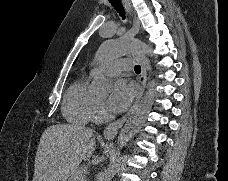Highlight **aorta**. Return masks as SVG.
<instances>
[{"label": "aorta", "instance_id": "obj_1", "mask_svg": "<svg viewBox=\"0 0 228 181\" xmlns=\"http://www.w3.org/2000/svg\"><path fill=\"white\" fill-rule=\"evenodd\" d=\"M130 52L145 53L154 56L152 48L136 39L120 38L118 40H107L98 49L96 59L98 62H105L110 59L122 56ZM156 81L152 82L151 88L141 99L128 121L121 130L117 144L119 148H124L131 138L142 128L149 112L152 109L153 101L156 97ZM111 83L99 72H94L92 89L96 94H107ZM113 170L108 168L103 174V181H111Z\"/></svg>", "mask_w": 228, "mask_h": 181}]
</instances>
